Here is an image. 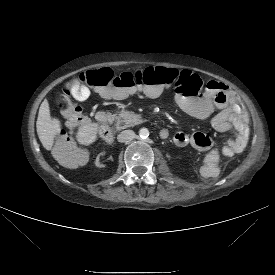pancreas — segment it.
I'll list each match as a JSON object with an SVG mask.
<instances>
[{"label":"pancreas","instance_id":"pancreas-1","mask_svg":"<svg viewBox=\"0 0 275 275\" xmlns=\"http://www.w3.org/2000/svg\"><path fill=\"white\" fill-rule=\"evenodd\" d=\"M117 130L135 126L140 123L141 116L132 111L120 110L113 115Z\"/></svg>","mask_w":275,"mask_h":275}]
</instances>
